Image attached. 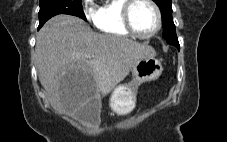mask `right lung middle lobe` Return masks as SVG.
I'll use <instances>...</instances> for the list:
<instances>
[{"mask_svg":"<svg viewBox=\"0 0 227 142\" xmlns=\"http://www.w3.org/2000/svg\"><path fill=\"white\" fill-rule=\"evenodd\" d=\"M58 14L77 16L86 21L81 0H40L39 26Z\"/></svg>","mask_w":227,"mask_h":142,"instance_id":"right-lung-middle-lobe-1","label":"right lung middle lobe"}]
</instances>
